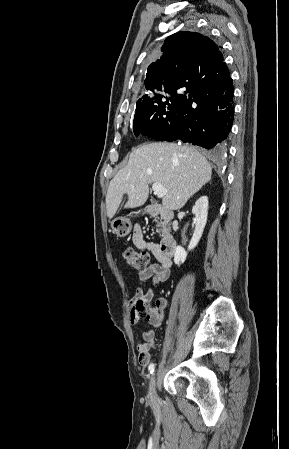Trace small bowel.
<instances>
[{"instance_id": "obj_1", "label": "small bowel", "mask_w": 289, "mask_h": 449, "mask_svg": "<svg viewBox=\"0 0 289 449\" xmlns=\"http://www.w3.org/2000/svg\"><path fill=\"white\" fill-rule=\"evenodd\" d=\"M132 242L138 249L148 252L156 261L145 270L138 272V281L141 287L138 288L136 294L130 300V321L133 325H137L141 321L140 311L142 304H146L152 299L154 286L165 282L169 278L171 259L161 253L159 244L148 242L144 239L142 229L138 225L133 230ZM148 281H150V287L144 289L142 285ZM164 306L165 302L162 300L158 303L157 307L148 311L147 320L151 325L158 327L163 323ZM142 339L143 341L137 345L138 359L141 365H147L150 361V349L156 343V335L152 330L144 331L142 332Z\"/></svg>"}]
</instances>
